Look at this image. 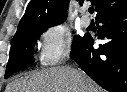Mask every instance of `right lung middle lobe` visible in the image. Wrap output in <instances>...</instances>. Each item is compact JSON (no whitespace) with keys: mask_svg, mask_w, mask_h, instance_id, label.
Instances as JSON below:
<instances>
[{"mask_svg":"<svg viewBox=\"0 0 127 92\" xmlns=\"http://www.w3.org/2000/svg\"><path fill=\"white\" fill-rule=\"evenodd\" d=\"M51 26H34L12 39L9 61L6 67L5 78H8L21 67L34 62L33 50L39 36ZM84 36H75L72 50L77 48Z\"/></svg>","mask_w":127,"mask_h":92,"instance_id":"obj_1","label":"right lung middle lobe"}]
</instances>
